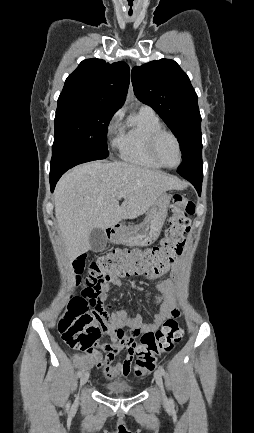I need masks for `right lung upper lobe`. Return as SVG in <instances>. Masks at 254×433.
Returning a JSON list of instances; mask_svg holds the SVG:
<instances>
[{
  "instance_id": "1",
  "label": "right lung upper lobe",
  "mask_w": 254,
  "mask_h": 433,
  "mask_svg": "<svg viewBox=\"0 0 254 433\" xmlns=\"http://www.w3.org/2000/svg\"><path fill=\"white\" fill-rule=\"evenodd\" d=\"M129 73V66L122 61L84 60L66 79L58 106L92 104L116 112L126 99Z\"/></svg>"
}]
</instances>
